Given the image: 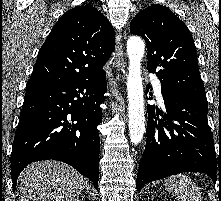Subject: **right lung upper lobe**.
<instances>
[{
  "label": "right lung upper lobe",
  "instance_id": "1",
  "mask_svg": "<svg viewBox=\"0 0 221 201\" xmlns=\"http://www.w3.org/2000/svg\"><path fill=\"white\" fill-rule=\"evenodd\" d=\"M114 30L92 6L64 13L42 45L28 84L54 85L92 78L114 51Z\"/></svg>",
  "mask_w": 221,
  "mask_h": 201
}]
</instances>
